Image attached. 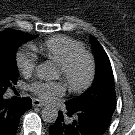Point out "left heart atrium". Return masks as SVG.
I'll return each instance as SVG.
<instances>
[{"label":"left heart atrium","instance_id":"obj_1","mask_svg":"<svg viewBox=\"0 0 135 135\" xmlns=\"http://www.w3.org/2000/svg\"><path fill=\"white\" fill-rule=\"evenodd\" d=\"M30 90L44 101H52L63 96L66 91L63 82L38 81L30 86Z\"/></svg>","mask_w":135,"mask_h":135}]
</instances>
